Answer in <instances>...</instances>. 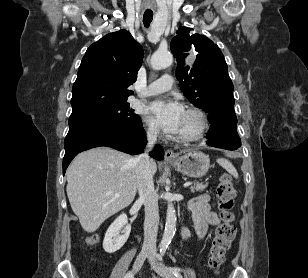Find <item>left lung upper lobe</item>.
Listing matches in <instances>:
<instances>
[{
	"label": "left lung upper lobe",
	"instance_id": "1",
	"mask_svg": "<svg viewBox=\"0 0 308 278\" xmlns=\"http://www.w3.org/2000/svg\"><path fill=\"white\" fill-rule=\"evenodd\" d=\"M190 31L180 27L170 45L182 92L207 113L222 105L234 106V86L221 50L207 37Z\"/></svg>",
	"mask_w": 308,
	"mask_h": 278
}]
</instances>
